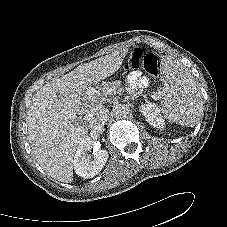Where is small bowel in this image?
Segmentation results:
<instances>
[{"label": "small bowel", "instance_id": "1", "mask_svg": "<svg viewBox=\"0 0 227 227\" xmlns=\"http://www.w3.org/2000/svg\"><path fill=\"white\" fill-rule=\"evenodd\" d=\"M148 84V79L141 76L139 72H132L127 76V89L132 92L140 87H145Z\"/></svg>", "mask_w": 227, "mask_h": 227}]
</instances>
